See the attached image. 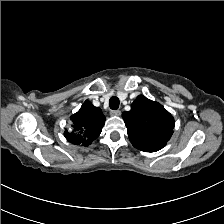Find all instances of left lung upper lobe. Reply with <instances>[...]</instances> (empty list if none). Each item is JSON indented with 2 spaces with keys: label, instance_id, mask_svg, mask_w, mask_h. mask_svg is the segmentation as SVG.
<instances>
[{
  "label": "left lung upper lobe",
  "instance_id": "5c2ea615",
  "mask_svg": "<svg viewBox=\"0 0 224 224\" xmlns=\"http://www.w3.org/2000/svg\"><path fill=\"white\" fill-rule=\"evenodd\" d=\"M122 117L132 145L145 152L163 148L173 133L174 118L158 102L140 95Z\"/></svg>",
  "mask_w": 224,
  "mask_h": 224
}]
</instances>
